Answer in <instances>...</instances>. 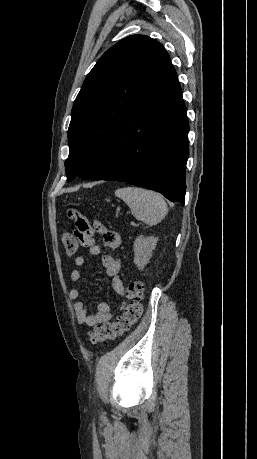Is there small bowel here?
Returning <instances> with one entry per match:
<instances>
[{
    "label": "small bowel",
    "instance_id": "c3829d8e",
    "mask_svg": "<svg viewBox=\"0 0 257 459\" xmlns=\"http://www.w3.org/2000/svg\"><path fill=\"white\" fill-rule=\"evenodd\" d=\"M68 219L75 222V227L68 228V235L74 236L77 241L78 247H87L91 255H99L101 248L98 244L92 242V238L95 234L102 236L104 245L111 249L116 250L121 245V236L112 230L106 228L104 224L99 221H95L92 225L91 220H85V215L79 211L77 205H72L68 212ZM102 265L109 277H111V286L113 290L121 297H124V285L120 278L121 272V260L112 255L106 254L101 258ZM86 260L83 256H77L74 259L75 268L70 272V280L72 282H78L82 277V269L85 266ZM69 297L74 300V313L77 321L80 324L87 326H95L108 322L113 316V308L107 302H100L96 306V311L90 313L86 307V304L80 300L81 291L78 288H73L69 292ZM126 306V302L123 300L120 306L122 310Z\"/></svg>",
    "mask_w": 257,
    "mask_h": 459
}]
</instances>
